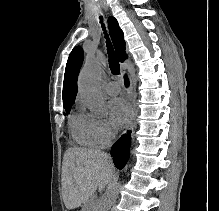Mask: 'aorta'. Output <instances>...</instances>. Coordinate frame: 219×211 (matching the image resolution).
Returning <instances> with one entry per match:
<instances>
[{
    "label": "aorta",
    "instance_id": "1",
    "mask_svg": "<svg viewBox=\"0 0 219 211\" xmlns=\"http://www.w3.org/2000/svg\"><path fill=\"white\" fill-rule=\"evenodd\" d=\"M101 67L93 59H87L79 74L78 88L82 100L96 117L107 115L105 98L100 89ZM121 182L110 185L101 197L97 211H109L116 202Z\"/></svg>",
    "mask_w": 219,
    "mask_h": 211
}]
</instances>
